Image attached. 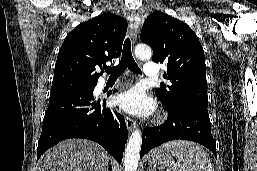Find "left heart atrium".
Here are the masks:
<instances>
[{
  "mask_svg": "<svg viewBox=\"0 0 257 171\" xmlns=\"http://www.w3.org/2000/svg\"><path fill=\"white\" fill-rule=\"evenodd\" d=\"M116 105L127 113L140 116L151 115L155 109L153 100L139 86L121 93L116 98Z\"/></svg>",
  "mask_w": 257,
  "mask_h": 171,
  "instance_id": "obj_1",
  "label": "left heart atrium"
}]
</instances>
